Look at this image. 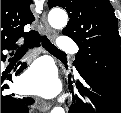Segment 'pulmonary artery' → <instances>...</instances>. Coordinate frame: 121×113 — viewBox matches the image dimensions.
Wrapping results in <instances>:
<instances>
[{
  "instance_id": "pulmonary-artery-1",
  "label": "pulmonary artery",
  "mask_w": 121,
  "mask_h": 113,
  "mask_svg": "<svg viewBox=\"0 0 121 113\" xmlns=\"http://www.w3.org/2000/svg\"><path fill=\"white\" fill-rule=\"evenodd\" d=\"M58 49L60 51H70L72 53H75L78 50L75 43L67 36L61 38Z\"/></svg>"
}]
</instances>
